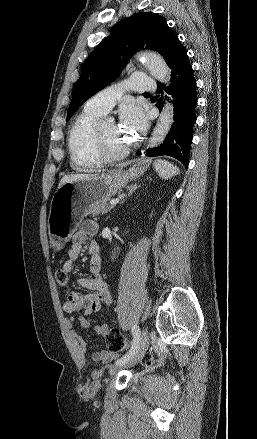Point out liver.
Here are the masks:
<instances>
[{
    "label": "liver",
    "mask_w": 257,
    "mask_h": 439,
    "mask_svg": "<svg viewBox=\"0 0 257 439\" xmlns=\"http://www.w3.org/2000/svg\"><path fill=\"white\" fill-rule=\"evenodd\" d=\"M97 176V174H72V175H66L64 176L60 182H59V186L63 185L64 183L67 182H73V181H77V180H81V179H88V178H92Z\"/></svg>",
    "instance_id": "1"
}]
</instances>
